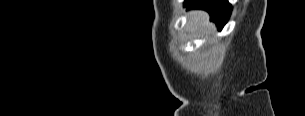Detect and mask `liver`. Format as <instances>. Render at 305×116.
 Wrapping results in <instances>:
<instances>
[{
  "mask_svg": "<svg viewBox=\"0 0 305 116\" xmlns=\"http://www.w3.org/2000/svg\"><path fill=\"white\" fill-rule=\"evenodd\" d=\"M188 24L190 28H203L208 33H212L214 29V25L209 22V15L199 10L190 11Z\"/></svg>",
  "mask_w": 305,
  "mask_h": 116,
  "instance_id": "1",
  "label": "liver"
}]
</instances>
